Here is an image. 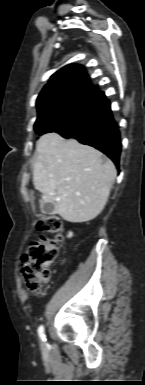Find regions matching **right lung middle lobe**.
Masks as SVG:
<instances>
[{"mask_svg": "<svg viewBox=\"0 0 145 385\" xmlns=\"http://www.w3.org/2000/svg\"><path fill=\"white\" fill-rule=\"evenodd\" d=\"M102 93L92 91H71L53 97L38 106V117L34 129L38 135L57 132L70 124L90 108Z\"/></svg>", "mask_w": 145, "mask_h": 385, "instance_id": "dd1d6c3e", "label": "right lung middle lobe"}]
</instances>
